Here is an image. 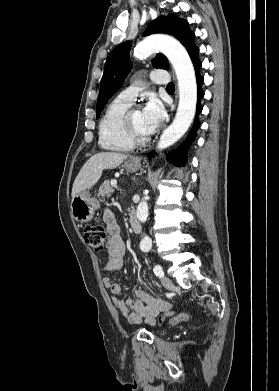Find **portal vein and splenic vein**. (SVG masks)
<instances>
[{
    "label": "portal vein and splenic vein",
    "mask_w": 279,
    "mask_h": 391,
    "mask_svg": "<svg viewBox=\"0 0 279 391\" xmlns=\"http://www.w3.org/2000/svg\"><path fill=\"white\" fill-rule=\"evenodd\" d=\"M117 182L116 181H112V185H115Z\"/></svg>",
    "instance_id": "1"
}]
</instances>
